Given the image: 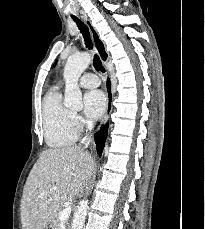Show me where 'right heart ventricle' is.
I'll list each match as a JSON object with an SVG mask.
<instances>
[{
    "label": "right heart ventricle",
    "mask_w": 205,
    "mask_h": 229,
    "mask_svg": "<svg viewBox=\"0 0 205 229\" xmlns=\"http://www.w3.org/2000/svg\"><path fill=\"white\" fill-rule=\"evenodd\" d=\"M42 111L44 139L49 147L59 149L76 142L78 127L74 114L63 105L60 92L52 90L47 93Z\"/></svg>",
    "instance_id": "e07e8e85"
}]
</instances>
